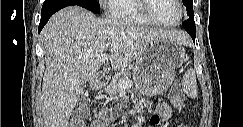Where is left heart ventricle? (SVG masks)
Here are the masks:
<instances>
[{
  "mask_svg": "<svg viewBox=\"0 0 243 127\" xmlns=\"http://www.w3.org/2000/svg\"><path fill=\"white\" fill-rule=\"evenodd\" d=\"M150 8L153 15L164 23H175L180 16L175 0H150Z\"/></svg>",
  "mask_w": 243,
  "mask_h": 127,
  "instance_id": "1",
  "label": "left heart ventricle"
}]
</instances>
